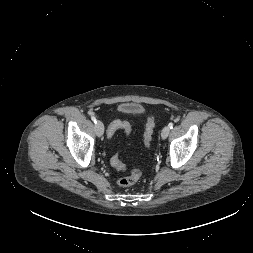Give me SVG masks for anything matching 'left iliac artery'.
<instances>
[{
  "instance_id": "left-iliac-artery-1",
  "label": "left iliac artery",
  "mask_w": 253,
  "mask_h": 253,
  "mask_svg": "<svg viewBox=\"0 0 253 253\" xmlns=\"http://www.w3.org/2000/svg\"><path fill=\"white\" fill-rule=\"evenodd\" d=\"M173 125H174V124H173L172 122H170V123L168 124V126H169L170 129L173 128Z\"/></svg>"
}]
</instances>
